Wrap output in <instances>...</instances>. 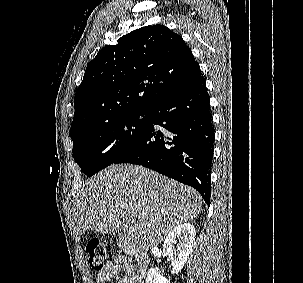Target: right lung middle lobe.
I'll return each mask as SVG.
<instances>
[{
  "instance_id": "obj_1",
  "label": "right lung middle lobe",
  "mask_w": 303,
  "mask_h": 283,
  "mask_svg": "<svg viewBox=\"0 0 303 283\" xmlns=\"http://www.w3.org/2000/svg\"><path fill=\"white\" fill-rule=\"evenodd\" d=\"M149 111H134L71 134L73 157L92 176L124 155L145 132Z\"/></svg>"
}]
</instances>
